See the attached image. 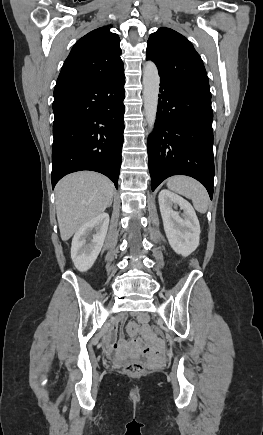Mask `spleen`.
<instances>
[{"instance_id":"obj_1","label":"spleen","mask_w":263,"mask_h":435,"mask_svg":"<svg viewBox=\"0 0 263 435\" xmlns=\"http://www.w3.org/2000/svg\"><path fill=\"white\" fill-rule=\"evenodd\" d=\"M167 187L191 199L198 212H207L209 195L205 187L197 180L188 176H173L167 180Z\"/></svg>"}]
</instances>
